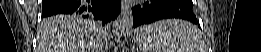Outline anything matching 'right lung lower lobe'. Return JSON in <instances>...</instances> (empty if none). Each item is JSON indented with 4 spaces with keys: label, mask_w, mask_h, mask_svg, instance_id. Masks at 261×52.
Here are the masks:
<instances>
[{
    "label": "right lung lower lobe",
    "mask_w": 261,
    "mask_h": 52,
    "mask_svg": "<svg viewBox=\"0 0 261 52\" xmlns=\"http://www.w3.org/2000/svg\"><path fill=\"white\" fill-rule=\"evenodd\" d=\"M121 10V0H42V16L72 14L90 17L105 26Z\"/></svg>",
    "instance_id": "1"
}]
</instances>
